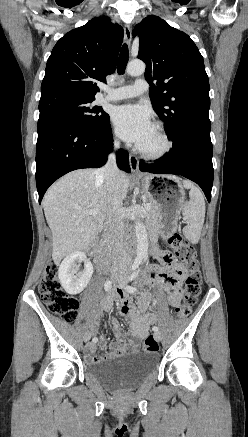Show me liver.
<instances>
[{"mask_svg": "<svg viewBox=\"0 0 248 437\" xmlns=\"http://www.w3.org/2000/svg\"><path fill=\"white\" fill-rule=\"evenodd\" d=\"M95 169L70 172L46 192L43 209L52 232V259H61L87 249L96 239L104 220L111 212L109 194L103 178ZM129 178L119 172L120 198L127 196ZM98 210L93 217L85 212Z\"/></svg>", "mask_w": 248, "mask_h": 437, "instance_id": "1", "label": "liver"}]
</instances>
